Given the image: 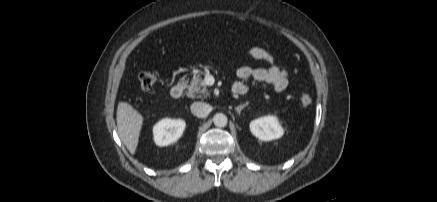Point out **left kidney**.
Wrapping results in <instances>:
<instances>
[{"label": "left kidney", "instance_id": "obj_1", "mask_svg": "<svg viewBox=\"0 0 437 202\" xmlns=\"http://www.w3.org/2000/svg\"><path fill=\"white\" fill-rule=\"evenodd\" d=\"M251 133L262 141H271L283 136L284 130L275 116H264L250 123Z\"/></svg>", "mask_w": 437, "mask_h": 202}]
</instances>
